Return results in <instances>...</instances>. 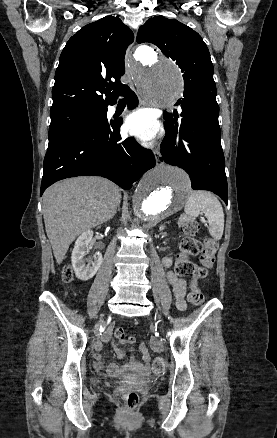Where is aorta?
Here are the masks:
<instances>
[{"label":"aorta","mask_w":277,"mask_h":438,"mask_svg":"<svg viewBox=\"0 0 277 438\" xmlns=\"http://www.w3.org/2000/svg\"><path fill=\"white\" fill-rule=\"evenodd\" d=\"M135 55L140 64L134 70V78L145 99L159 107L172 104L182 93L183 85L176 64L148 46L138 47ZM190 189L189 177L182 169L157 166L143 176L135 190L133 223L153 227L177 213Z\"/></svg>","instance_id":"1"}]
</instances>
